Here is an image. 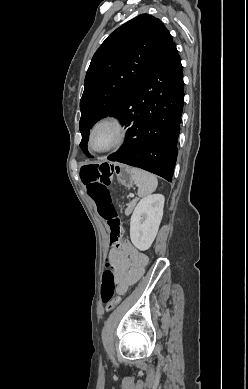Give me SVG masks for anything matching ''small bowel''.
Returning a JSON list of instances; mask_svg holds the SVG:
<instances>
[{"label":"small bowel","mask_w":248,"mask_h":389,"mask_svg":"<svg viewBox=\"0 0 248 389\" xmlns=\"http://www.w3.org/2000/svg\"><path fill=\"white\" fill-rule=\"evenodd\" d=\"M109 261L116 268V291L123 295L143 275L148 257L125 240L119 247L111 249Z\"/></svg>","instance_id":"small-bowel-1"}]
</instances>
